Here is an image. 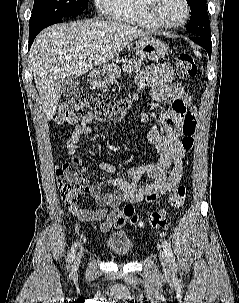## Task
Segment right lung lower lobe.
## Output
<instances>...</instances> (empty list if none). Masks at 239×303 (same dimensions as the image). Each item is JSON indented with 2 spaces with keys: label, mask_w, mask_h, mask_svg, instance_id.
Masks as SVG:
<instances>
[{
  "label": "right lung lower lobe",
  "mask_w": 239,
  "mask_h": 303,
  "mask_svg": "<svg viewBox=\"0 0 239 303\" xmlns=\"http://www.w3.org/2000/svg\"><path fill=\"white\" fill-rule=\"evenodd\" d=\"M64 17H60V18H55L53 19L52 21L46 23V24H39V25H36V26H33V27H29V49L36 37V35L42 30L44 29L45 27H48L52 24H55V23H60L62 22V19Z\"/></svg>",
  "instance_id": "1"
}]
</instances>
